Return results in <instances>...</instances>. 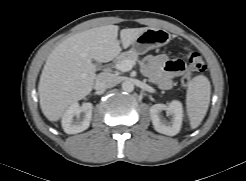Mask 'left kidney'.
Wrapping results in <instances>:
<instances>
[{"label":"left kidney","instance_id":"5707ae66","mask_svg":"<svg viewBox=\"0 0 246 181\" xmlns=\"http://www.w3.org/2000/svg\"><path fill=\"white\" fill-rule=\"evenodd\" d=\"M162 111L171 116L170 121L162 116ZM150 117L154 129L168 136H174L180 132L183 121V107L178 100H173L169 105L155 104L150 107Z\"/></svg>","mask_w":246,"mask_h":181}]
</instances>
